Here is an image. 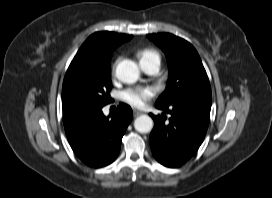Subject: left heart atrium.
Returning <instances> with one entry per match:
<instances>
[{
	"mask_svg": "<svg viewBox=\"0 0 272 198\" xmlns=\"http://www.w3.org/2000/svg\"><path fill=\"white\" fill-rule=\"evenodd\" d=\"M154 95L151 88L128 89L122 93V100L133 107H141Z\"/></svg>",
	"mask_w": 272,
	"mask_h": 198,
	"instance_id": "left-heart-atrium-1",
	"label": "left heart atrium"
}]
</instances>
